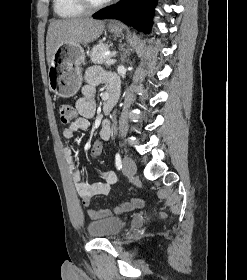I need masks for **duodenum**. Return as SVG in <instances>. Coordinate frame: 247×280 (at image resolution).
Instances as JSON below:
<instances>
[{"label":"duodenum","mask_w":247,"mask_h":280,"mask_svg":"<svg viewBox=\"0 0 247 280\" xmlns=\"http://www.w3.org/2000/svg\"><path fill=\"white\" fill-rule=\"evenodd\" d=\"M117 98H118L117 88H113V87L109 88L105 96V103H104L105 113H109L113 109L117 101Z\"/></svg>","instance_id":"duodenum-1"}]
</instances>
